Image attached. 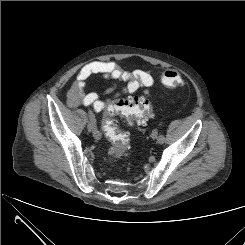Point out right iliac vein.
I'll list each match as a JSON object with an SVG mask.
<instances>
[{"instance_id":"63e3f726","label":"right iliac vein","mask_w":245,"mask_h":245,"mask_svg":"<svg viewBox=\"0 0 245 245\" xmlns=\"http://www.w3.org/2000/svg\"><path fill=\"white\" fill-rule=\"evenodd\" d=\"M87 129L89 132L93 131L92 124L90 121L88 122ZM93 136L95 137V139H99V136L97 134H94V132H93Z\"/></svg>"}]
</instances>
